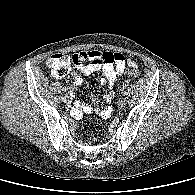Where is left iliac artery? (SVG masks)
<instances>
[{"mask_svg": "<svg viewBox=\"0 0 195 195\" xmlns=\"http://www.w3.org/2000/svg\"><path fill=\"white\" fill-rule=\"evenodd\" d=\"M126 92H122V95L125 96Z\"/></svg>", "mask_w": 195, "mask_h": 195, "instance_id": "1", "label": "left iliac artery"}]
</instances>
